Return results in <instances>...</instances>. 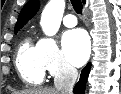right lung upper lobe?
Returning a JSON list of instances; mask_svg holds the SVG:
<instances>
[{"label":"right lung upper lobe","mask_w":121,"mask_h":94,"mask_svg":"<svg viewBox=\"0 0 121 94\" xmlns=\"http://www.w3.org/2000/svg\"><path fill=\"white\" fill-rule=\"evenodd\" d=\"M83 3L86 2V0H82ZM40 3L38 0H30L20 11L19 17L15 26V32L22 28L28 20H30L36 12L39 10Z\"/></svg>","instance_id":"1"}]
</instances>
